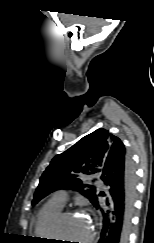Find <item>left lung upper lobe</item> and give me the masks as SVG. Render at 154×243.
Listing matches in <instances>:
<instances>
[{"instance_id":"5c2ea615","label":"left lung upper lobe","mask_w":154,"mask_h":243,"mask_svg":"<svg viewBox=\"0 0 154 243\" xmlns=\"http://www.w3.org/2000/svg\"><path fill=\"white\" fill-rule=\"evenodd\" d=\"M123 148L121 140L105 129L84 136L52 159L40 178L32 205L55 190L67 188L77 189L92 203L99 190L92 184H83L81 175L101 172L107 157Z\"/></svg>"}]
</instances>
